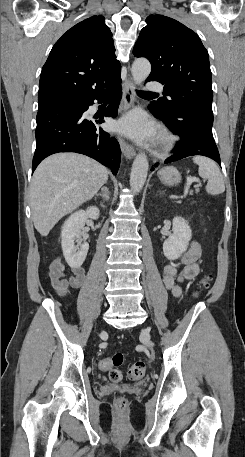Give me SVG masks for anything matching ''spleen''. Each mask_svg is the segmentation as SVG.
I'll return each mask as SVG.
<instances>
[{"label":"spleen","instance_id":"obj_1","mask_svg":"<svg viewBox=\"0 0 245 457\" xmlns=\"http://www.w3.org/2000/svg\"><path fill=\"white\" fill-rule=\"evenodd\" d=\"M193 160L199 166L198 172L200 176H202V178H207L208 180L206 184L207 192H209V194H220V192H224L225 184L223 176L216 162H214L212 158L200 156V154H196Z\"/></svg>","mask_w":245,"mask_h":457}]
</instances>
